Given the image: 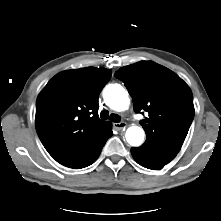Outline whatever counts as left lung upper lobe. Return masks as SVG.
Wrapping results in <instances>:
<instances>
[{
    "label": "left lung upper lobe",
    "mask_w": 221,
    "mask_h": 221,
    "mask_svg": "<svg viewBox=\"0 0 221 221\" xmlns=\"http://www.w3.org/2000/svg\"><path fill=\"white\" fill-rule=\"evenodd\" d=\"M115 77L128 89L135 112H148L140 122L146 141L177 154L195 113L188 85L171 70L151 61L122 67Z\"/></svg>",
    "instance_id": "1"
}]
</instances>
